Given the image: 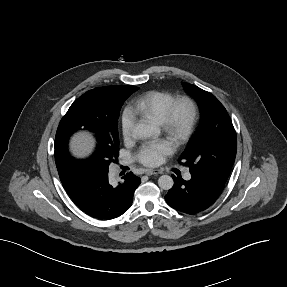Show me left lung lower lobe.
<instances>
[{
  "mask_svg": "<svg viewBox=\"0 0 287 287\" xmlns=\"http://www.w3.org/2000/svg\"><path fill=\"white\" fill-rule=\"evenodd\" d=\"M191 179L183 180L172 175L175 184L165 195L166 202L174 209L196 214L210 207L220 196L225 182L199 171H190Z\"/></svg>",
  "mask_w": 287,
  "mask_h": 287,
  "instance_id": "obj_1",
  "label": "left lung lower lobe"
}]
</instances>
